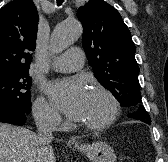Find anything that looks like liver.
I'll list each match as a JSON object with an SVG mask.
<instances>
[{"label":"liver","mask_w":168,"mask_h":162,"mask_svg":"<svg viewBox=\"0 0 168 162\" xmlns=\"http://www.w3.org/2000/svg\"><path fill=\"white\" fill-rule=\"evenodd\" d=\"M49 143L29 129L0 123V162H56Z\"/></svg>","instance_id":"obj_1"}]
</instances>
